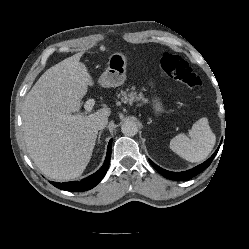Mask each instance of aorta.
I'll return each mask as SVG.
<instances>
[{
    "label": "aorta",
    "instance_id": "aorta-1",
    "mask_svg": "<svg viewBox=\"0 0 249 249\" xmlns=\"http://www.w3.org/2000/svg\"><path fill=\"white\" fill-rule=\"evenodd\" d=\"M121 131L125 136H135L138 132V126L136 122L126 120L121 125Z\"/></svg>",
    "mask_w": 249,
    "mask_h": 249
}]
</instances>
